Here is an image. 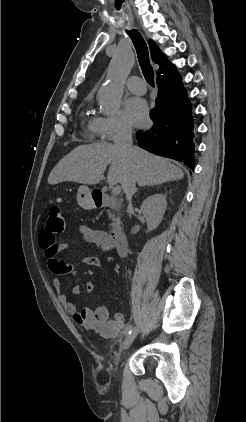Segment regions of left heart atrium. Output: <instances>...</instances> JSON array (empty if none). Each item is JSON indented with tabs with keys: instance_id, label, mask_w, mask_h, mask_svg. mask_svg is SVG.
Segmentation results:
<instances>
[{
	"instance_id": "obj_1",
	"label": "left heart atrium",
	"mask_w": 246,
	"mask_h": 422,
	"mask_svg": "<svg viewBox=\"0 0 246 422\" xmlns=\"http://www.w3.org/2000/svg\"><path fill=\"white\" fill-rule=\"evenodd\" d=\"M125 116L135 126H143L148 121V107L146 102L138 97H131L124 105Z\"/></svg>"
}]
</instances>
